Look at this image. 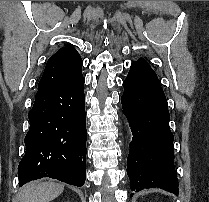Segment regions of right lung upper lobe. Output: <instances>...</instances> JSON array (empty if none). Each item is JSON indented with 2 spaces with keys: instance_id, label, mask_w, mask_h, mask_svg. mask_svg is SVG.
<instances>
[{
  "instance_id": "1",
  "label": "right lung upper lobe",
  "mask_w": 209,
  "mask_h": 202,
  "mask_svg": "<svg viewBox=\"0 0 209 202\" xmlns=\"http://www.w3.org/2000/svg\"><path fill=\"white\" fill-rule=\"evenodd\" d=\"M65 56L68 58L67 64L65 65L64 71L68 75L75 76L76 74L81 73L82 59L79 53L71 46H65L56 52L53 57Z\"/></svg>"
}]
</instances>
